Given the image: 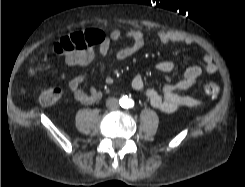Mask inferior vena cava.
<instances>
[{"mask_svg": "<svg viewBox=\"0 0 245 187\" xmlns=\"http://www.w3.org/2000/svg\"><path fill=\"white\" fill-rule=\"evenodd\" d=\"M106 107L111 110H116L118 108V100L116 98L107 99Z\"/></svg>", "mask_w": 245, "mask_h": 187, "instance_id": "obj_1", "label": "inferior vena cava"}]
</instances>
